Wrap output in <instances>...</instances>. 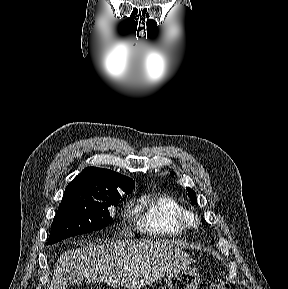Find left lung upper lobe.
<instances>
[{"label": "left lung upper lobe", "mask_w": 288, "mask_h": 289, "mask_svg": "<svg viewBox=\"0 0 288 289\" xmlns=\"http://www.w3.org/2000/svg\"><path fill=\"white\" fill-rule=\"evenodd\" d=\"M171 174H175V173L171 172ZM187 191H188V196L191 198V200L194 203H197L196 193L194 192V190H192L191 188L187 187Z\"/></svg>", "instance_id": "left-lung-upper-lobe-1"}]
</instances>
